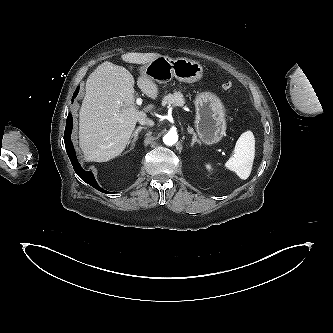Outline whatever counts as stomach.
I'll list each match as a JSON object with an SVG mask.
<instances>
[{"label":"stomach","instance_id":"stomach-1","mask_svg":"<svg viewBox=\"0 0 333 333\" xmlns=\"http://www.w3.org/2000/svg\"><path fill=\"white\" fill-rule=\"evenodd\" d=\"M141 73L154 82L165 84L173 77L181 82L193 83L203 76L200 63L187 59H172L160 55L141 67ZM195 128L204 144L218 143L226 133L225 108L212 92H200L195 98Z\"/></svg>","mask_w":333,"mask_h":333}]
</instances>
